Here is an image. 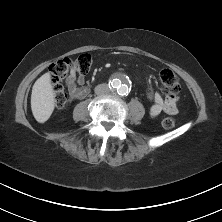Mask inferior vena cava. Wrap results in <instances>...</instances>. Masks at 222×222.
<instances>
[{
    "label": "inferior vena cava",
    "instance_id": "1",
    "mask_svg": "<svg viewBox=\"0 0 222 222\" xmlns=\"http://www.w3.org/2000/svg\"><path fill=\"white\" fill-rule=\"evenodd\" d=\"M95 93L99 96H104V95H107L109 94L110 92V89L108 87L107 84L103 83V84H99L95 87Z\"/></svg>",
    "mask_w": 222,
    "mask_h": 222
}]
</instances>
